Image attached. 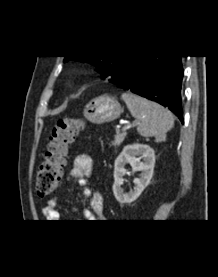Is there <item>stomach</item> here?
Listing matches in <instances>:
<instances>
[{"label":"stomach","instance_id":"1","mask_svg":"<svg viewBox=\"0 0 218 277\" xmlns=\"http://www.w3.org/2000/svg\"><path fill=\"white\" fill-rule=\"evenodd\" d=\"M123 108L115 97L103 95L92 99L84 108V117L94 124L111 122L120 117Z\"/></svg>","mask_w":218,"mask_h":277}]
</instances>
